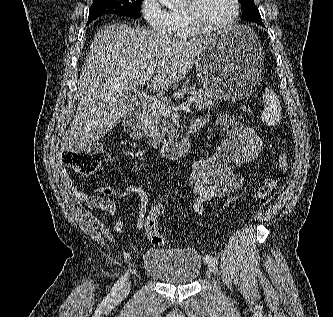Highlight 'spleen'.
<instances>
[{
	"instance_id": "1",
	"label": "spleen",
	"mask_w": 333,
	"mask_h": 317,
	"mask_svg": "<svg viewBox=\"0 0 333 317\" xmlns=\"http://www.w3.org/2000/svg\"><path fill=\"white\" fill-rule=\"evenodd\" d=\"M264 111L261 119L268 126H276L281 120V105L277 94L272 89H266L263 94Z\"/></svg>"
}]
</instances>
